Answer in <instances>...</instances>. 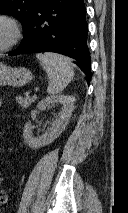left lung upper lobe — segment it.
<instances>
[{
  "label": "left lung upper lobe",
  "instance_id": "1",
  "mask_svg": "<svg viewBox=\"0 0 128 213\" xmlns=\"http://www.w3.org/2000/svg\"><path fill=\"white\" fill-rule=\"evenodd\" d=\"M39 0H0V14L17 17L25 30L30 24Z\"/></svg>",
  "mask_w": 128,
  "mask_h": 213
}]
</instances>
